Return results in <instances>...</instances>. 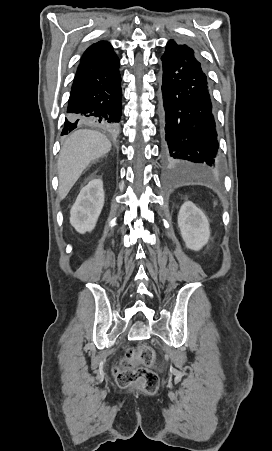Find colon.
Segmentation results:
<instances>
[{
	"label": "colon",
	"instance_id": "5ec220e1",
	"mask_svg": "<svg viewBox=\"0 0 272 451\" xmlns=\"http://www.w3.org/2000/svg\"><path fill=\"white\" fill-rule=\"evenodd\" d=\"M150 348L149 342H142L140 348H131L119 358L114 373L120 386L140 385L149 393L157 391L158 375L149 368L153 364L155 351Z\"/></svg>",
	"mask_w": 272,
	"mask_h": 451
}]
</instances>
